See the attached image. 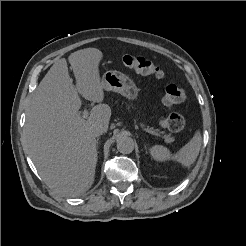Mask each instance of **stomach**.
Masks as SVG:
<instances>
[{"label":"stomach","instance_id":"stomach-1","mask_svg":"<svg viewBox=\"0 0 246 246\" xmlns=\"http://www.w3.org/2000/svg\"><path fill=\"white\" fill-rule=\"evenodd\" d=\"M103 88L107 91H113L121 94L129 100H136L139 89L136 84L125 74L110 70L102 76Z\"/></svg>","mask_w":246,"mask_h":246}]
</instances>
